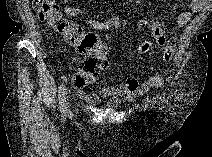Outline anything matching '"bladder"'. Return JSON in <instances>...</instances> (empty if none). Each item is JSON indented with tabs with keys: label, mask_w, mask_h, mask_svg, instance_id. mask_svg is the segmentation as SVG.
I'll return each instance as SVG.
<instances>
[{
	"label": "bladder",
	"mask_w": 212,
	"mask_h": 157,
	"mask_svg": "<svg viewBox=\"0 0 212 157\" xmlns=\"http://www.w3.org/2000/svg\"><path fill=\"white\" fill-rule=\"evenodd\" d=\"M122 104L123 102L120 100H111L107 103V105L111 107H120Z\"/></svg>",
	"instance_id": "obj_1"
}]
</instances>
